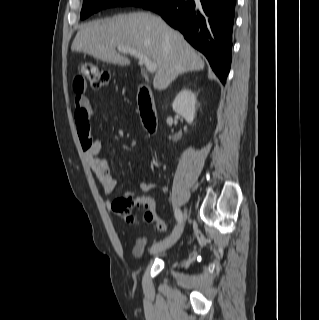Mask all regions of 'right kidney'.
I'll use <instances>...</instances> for the list:
<instances>
[{
  "label": "right kidney",
  "instance_id": "1",
  "mask_svg": "<svg viewBox=\"0 0 319 320\" xmlns=\"http://www.w3.org/2000/svg\"><path fill=\"white\" fill-rule=\"evenodd\" d=\"M196 95L189 89H183L175 97L172 108L191 124L195 118Z\"/></svg>",
  "mask_w": 319,
  "mask_h": 320
}]
</instances>
